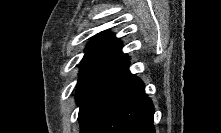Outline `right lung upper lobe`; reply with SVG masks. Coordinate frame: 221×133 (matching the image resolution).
I'll use <instances>...</instances> for the list:
<instances>
[{
  "label": "right lung upper lobe",
  "mask_w": 221,
  "mask_h": 133,
  "mask_svg": "<svg viewBox=\"0 0 221 133\" xmlns=\"http://www.w3.org/2000/svg\"><path fill=\"white\" fill-rule=\"evenodd\" d=\"M122 43L110 32L94 36L85 50L81 61L80 75H101L110 69L127 62L126 54L121 52Z\"/></svg>",
  "instance_id": "right-lung-upper-lobe-1"
}]
</instances>
